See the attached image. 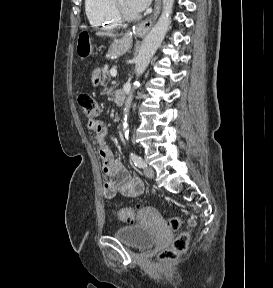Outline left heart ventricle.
Returning a JSON list of instances; mask_svg holds the SVG:
<instances>
[{"instance_id": "left-heart-ventricle-1", "label": "left heart ventricle", "mask_w": 273, "mask_h": 288, "mask_svg": "<svg viewBox=\"0 0 273 288\" xmlns=\"http://www.w3.org/2000/svg\"><path fill=\"white\" fill-rule=\"evenodd\" d=\"M120 1V5L128 12L131 14H136V12L134 10H132V8L129 6L128 0H119Z\"/></svg>"}]
</instances>
